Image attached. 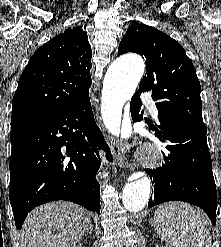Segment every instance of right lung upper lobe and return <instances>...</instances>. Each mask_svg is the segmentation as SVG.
Returning <instances> with one entry per match:
<instances>
[{"label": "right lung upper lobe", "mask_w": 221, "mask_h": 247, "mask_svg": "<svg viewBox=\"0 0 221 247\" xmlns=\"http://www.w3.org/2000/svg\"><path fill=\"white\" fill-rule=\"evenodd\" d=\"M91 46L78 27L58 34L30 58L12 101L11 121L61 112L89 98Z\"/></svg>", "instance_id": "right-lung-upper-lobe-1"}]
</instances>
